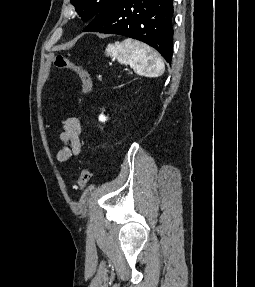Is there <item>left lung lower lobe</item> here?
Returning a JSON list of instances; mask_svg holds the SVG:
<instances>
[{"label": "left lung lower lobe", "mask_w": 255, "mask_h": 287, "mask_svg": "<svg viewBox=\"0 0 255 287\" xmlns=\"http://www.w3.org/2000/svg\"><path fill=\"white\" fill-rule=\"evenodd\" d=\"M173 0H112L83 30L147 43L167 62L173 53Z\"/></svg>", "instance_id": "0a47b994"}]
</instances>
